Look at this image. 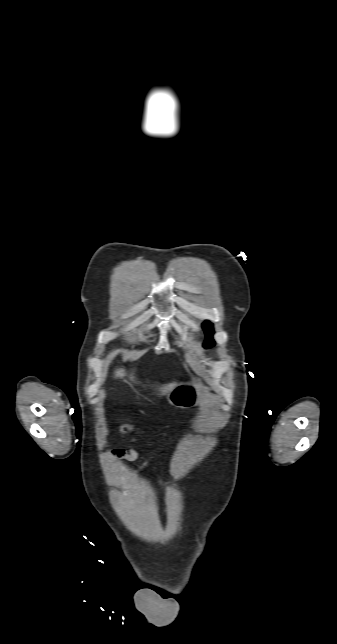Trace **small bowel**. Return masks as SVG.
I'll return each instance as SVG.
<instances>
[{
    "label": "small bowel",
    "mask_w": 337,
    "mask_h": 644,
    "mask_svg": "<svg viewBox=\"0 0 337 644\" xmlns=\"http://www.w3.org/2000/svg\"><path fill=\"white\" fill-rule=\"evenodd\" d=\"M112 456L114 458L123 459L128 462H134L138 459V452L131 447H128L126 449L117 448L112 451ZM148 466L149 462H145L136 473L128 478V482L132 483L133 481H135L139 477V475L148 468Z\"/></svg>",
    "instance_id": "c3829d8e"
}]
</instances>
